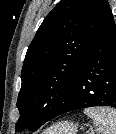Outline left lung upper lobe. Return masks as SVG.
<instances>
[{
  "mask_svg": "<svg viewBox=\"0 0 116 134\" xmlns=\"http://www.w3.org/2000/svg\"><path fill=\"white\" fill-rule=\"evenodd\" d=\"M111 14L108 0H61L46 16L22 67L16 132L36 131L71 97L81 64Z\"/></svg>",
  "mask_w": 116,
  "mask_h": 134,
  "instance_id": "1",
  "label": "left lung upper lobe"
}]
</instances>
